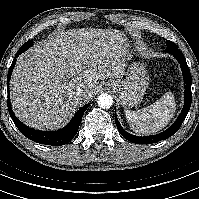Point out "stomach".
<instances>
[{
	"mask_svg": "<svg viewBox=\"0 0 199 199\" xmlns=\"http://www.w3.org/2000/svg\"><path fill=\"white\" fill-rule=\"evenodd\" d=\"M148 84L149 77L144 64L136 62L128 67L124 80H113L108 82L106 86L118 95L124 107L130 108L142 101Z\"/></svg>",
	"mask_w": 199,
	"mask_h": 199,
	"instance_id": "0dacf381",
	"label": "stomach"
}]
</instances>
